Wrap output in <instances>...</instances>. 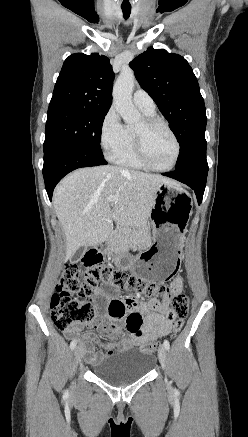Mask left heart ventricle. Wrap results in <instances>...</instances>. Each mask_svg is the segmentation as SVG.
Masks as SVG:
<instances>
[{
    "mask_svg": "<svg viewBox=\"0 0 248 437\" xmlns=\"http://www.w3.org/2000/svg\"><path fill=\"white\" fill-rule=\"evenodd\" d=\"M134 131H143V121ZM145 151L150 163L158 168L168 167L175 155V143L163 126L145 132Z\"/></svg>",
    "mask_w": 248,
    "mask_h": 437,
    "instance_id": "left-heart-ventricle-1",
    "label": "left heart ventricle"
}]
</instances>
